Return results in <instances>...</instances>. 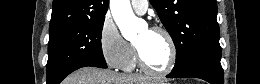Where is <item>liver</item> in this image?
Returning a JSON list of instances; mask_svg holds the SVG:
<instances>
[{"label": "liver", "mask_w": 260, "mask_h": 84, "mask_svg": "<svg viewBox=\"0 0 260 84\" xmlns=\"http://www.w3.org/2000/svg\"><path fill=\"white\" fill-rule=\"evenodd\" d=\"M66 84H156L152 78L142 75L118 74L110 70L84 67L74 71Z\"/></svg>", "instance_id": "6515ba94"}]
</instances>
